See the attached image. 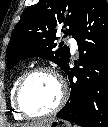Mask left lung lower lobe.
I'll use <instances>...</instances> for the list:
<instances>
[{"mask_svg":"<svg viewBox=\"0 0 108 127\" xmlns=\"http://www.w3.org/2000/svg\"><path fill=\"white\" fill-rule=\"evenodd\" d=\"M73 37L78 43V66L65 73L71 95L56 115L82 127H108V3L86 0ZM100 67L98 86L90 79L92 64Z\"/></svg>","mask_w":108,"mask_h":127,"instance_id":"1","label":"left lung lower lobe"}]
</instances>
